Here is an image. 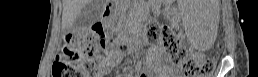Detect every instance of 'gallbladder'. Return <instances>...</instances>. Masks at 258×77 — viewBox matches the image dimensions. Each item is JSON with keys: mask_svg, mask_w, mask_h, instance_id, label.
<instances>
[{"mask_svg": "<svg viewBox=\"0 0 258 77\" xmlns=\"http://www.w3.org/2000/svg\"><path fill=\"white\" fill-rule=\"evenodd\" d=\"M102 9L103 4L100 0H90L74 20L73 29L86 27L96 21L100 17Z\"/></svg>", "mask_w": 258, "mask_h": 77, "instance_id": "bac80fb5", "label": "gallbladder"}]
</instances>
